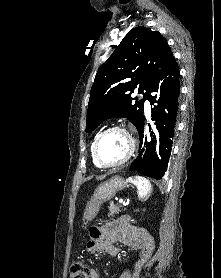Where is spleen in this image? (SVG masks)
<instances>
[{
	"label": "spleen",
	"mask_w": 221,
	"mask_h": 278,
	"mask_svg": "<svg viewBox=\"0 0 221 278\" xmlns=\"http://www.w3.org/2000/svg\"><path fill=\"white\" fill-rule=\"evenodd\" d=\"M127 181L137 187L139 199L145 200L150 195L152 191V185L148 179L142 176H135L129 177Z\"/></svg>",
	"instance_id": "1"
}]
</instances>
